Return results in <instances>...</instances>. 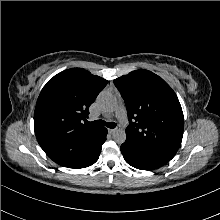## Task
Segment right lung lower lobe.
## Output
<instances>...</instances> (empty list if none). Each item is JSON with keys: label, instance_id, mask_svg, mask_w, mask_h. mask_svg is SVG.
I'll return each mask as SVG.
<instances>
[{"label": "right lung lower lobe", "instance_id": "98d812e1", "mask_svg": "<svg viewBox=\"0 0 220 220\" xmlns=\"http://www.w3.org/2000/svg\"><path fill=\"white\" fill-rule=\"evenodd\" d=\"M106 135H107V129L102 127V129H101L100 133L97 135V137H95L91 141L86 142L85 143V145H86L85 151H87L89 153V155L85 160H82L78 163H63L55 158H51V157L50 158L53 161H55L57 164L64 166V167H69V168H85V167L91 166L99 158L102 144L106 140Z\"/></svg>", "mask_w": 220, "mask_h": 220}]
</instances>
